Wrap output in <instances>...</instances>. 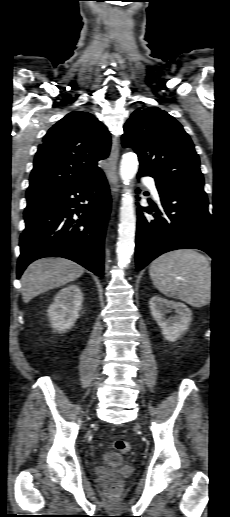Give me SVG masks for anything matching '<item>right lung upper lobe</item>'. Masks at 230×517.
I'll return each mask as SVG.
<instances>
[{"label": "right lung upper lobe", "instance_id": "cb5924a9", "mask_svg": "<svg viewBox=\"0 0 230 517\" xmlns=\"http://www.w3.org/2000/svg\"><path fill=\"white\" fill-rule=\"evenodd\" d=\"M107 128L88 112L67 114L49 129L40 144L26 196L69 188L102 173L99 160L109 155Z\"/></svg>", "mask_w": 230, "mask_h": 517}]
</instances>
